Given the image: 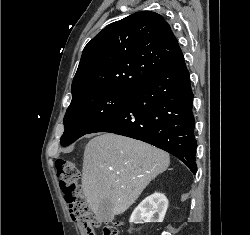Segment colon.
I'll return each mask as SVG.
<instances>
[{
  "instance_id": "obj_1",
  "label": "colon",
  "mask_w": 250,
  "mask_h": 235,
  "mask_svg": "<svg viewBox=\"0 0 250 235\" xmlns=\"http://www.w3.org/2000/svg\"><path fill=\"white\" fill-rule=\"evenodd\" d=\"M56 169L60 179V189L69 206L72 219L81 224L86 235H97L95 232L97 223L90 212L79 184L80 171L77 164L73 161L58 159ZM118 227V223L106 224L102 227L100 234L118 235Z\"/></svg>"
}]
</instances>
